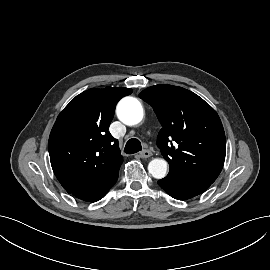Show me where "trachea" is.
Listing matches in <instances>:
<instances>
[{"mask_svg":"<svg viewBox=\"0 0 270 270\" xmlns=\"http://www.w3.org/2000/svg\"><path fill=\"white\" fill-rule=\"evenodd\" d=\"M141 150H142L141 142L136 138L128 140L124 148V152L127 154H134Z\"/></svg>","mask_w":270,"mask_h":270,"instance_id":"trachea-1","label":"trachea"}]
</instances>
